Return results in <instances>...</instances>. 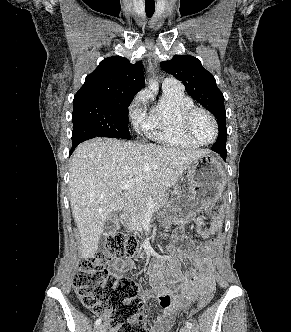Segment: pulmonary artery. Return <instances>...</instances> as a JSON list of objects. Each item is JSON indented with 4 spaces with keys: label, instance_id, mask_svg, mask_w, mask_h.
<instances>
[{
    "label": "pulmonary artery",
    "instance_id": "pulmonary-artery-1",
    "mask_svg": "<svg viewBox=\"0 0 291 332\" xmlns=\"http://www.w3.org/2000/svg\"><path fill=\"white\" fill-rule=\"evenodd\" d=\"M163 88L172 90H183V85L175 78L167 77L163 81Z\"/></svg>",
    "mask_w": 291,
    "mask_h": 332
}]
</instances>
